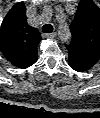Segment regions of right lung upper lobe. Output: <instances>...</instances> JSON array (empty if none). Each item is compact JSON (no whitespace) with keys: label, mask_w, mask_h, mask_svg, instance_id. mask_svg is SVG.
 Masks as SVG:
<instances>
[{"label":"right lung upper lobe","mask_w":100,"mask_h":118,"mask_svg":"<svg viewBox=\"0 0 100 118\" xmlns=\"http://www.w3.org/2000/svg\"><path fill=\"white\" fill-rule=\"evenodd\" d=\"M39 32L28 25L23 2L15 4L0 29V49L13 65L25 69L37 60Z\"/></svg>","instance_id":"cb5924a9"}]
</instances>
